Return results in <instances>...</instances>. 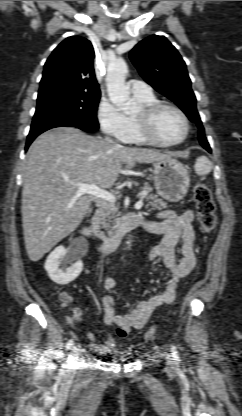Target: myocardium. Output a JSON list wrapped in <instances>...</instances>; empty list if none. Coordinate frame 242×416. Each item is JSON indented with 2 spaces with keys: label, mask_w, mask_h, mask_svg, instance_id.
Listing matches in <instances>:
<instances>
[{
  "label": "myocardium",
  "mask_w": 242,
  "mask_h": 416,
  "mask_svg": "<svg viewBox=\"0 0 242 416\" xmlns=\"http://www.w3.org/2000/svg\"><path fill=\"white\" fill-rule=\"evenodd\" d=\"M163 109H171L175 111L183 121L184 132L182 136L174 141H165L160 139L153 128L155 116ZM139 132L146 142L157 146H174L181 144L185 141L189 134L190 125L187 115L178 106L168 103L157 101L149 105H144L141 113L135 117Z\"/></svg>",
  "instance_id": "obj_1"
}]
</instances>
